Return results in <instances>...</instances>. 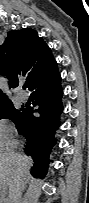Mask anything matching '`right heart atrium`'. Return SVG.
Returning a JSON list of instances; mask_svg holds the SVG:
<instances>
[{
    "mask_svg": "<svg viewBox=\"0 0 89 203\" xmlns=\"http://www.w3.org/2000/svg\"><path fill=\"white\" fill-rule=\"evenodd\" d=\"M13 136V127L7 120L0 122V138L2 140H8Z\"/></svg>",
    "mask_w": 89,
    "mask_h": 203,
    "instance_id": "1",
    "label": "right heart atrium"
}]
</instances>
